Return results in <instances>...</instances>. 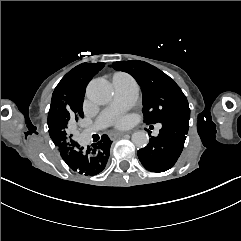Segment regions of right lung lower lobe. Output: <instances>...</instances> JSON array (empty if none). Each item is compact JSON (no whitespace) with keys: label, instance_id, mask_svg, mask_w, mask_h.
I'll return each mask as SVG.
<instances>
[{"label":"right lung lower lobe","instance_id":"1","mask_svg":"<svg viewBox=\"0 0 241 241\" xmlns=\"http://www.w3.org/2000/svg\"><path fill=\"white\" fill-rule=\"evenodd\" d=\"M111 141L107 135L91 146L80 147L72 141L58 147L65 163L75 172L86 176H93L104 170L110 155Z\"/></svg>","mask_w":241,"mask_h":241}]
</instances>
